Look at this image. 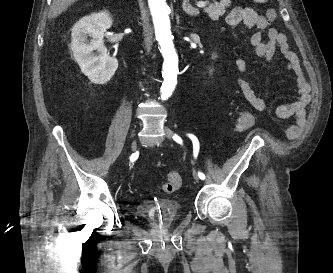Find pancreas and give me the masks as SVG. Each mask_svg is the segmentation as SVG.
<instances>
[{
    "mask_svg": "<svg viewBox=\"0 0 333 273\" xmlns=\"http://www.w3.org/2000/svg\"><path fill=\"white\" fill-rule=\"evenodd\" d=\"M230 0H221L215 4H209L204 8V11L208 14L210 19L218 20L220 16L225 14V8L230 5Z\"/></svg>",
    "mask_w": 333,
    "mask_h": 273,
    "instance_id": "cf45deb5",
    "label": "pancreas"
}]
</instances>
